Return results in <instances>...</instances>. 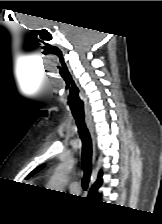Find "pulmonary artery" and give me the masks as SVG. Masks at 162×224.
Segmentation results:
<instances>
[{"label":"pulmonary artery","instance_id":"1","mask_svg":"<svg viewBox=\"0 0 162 224\" xmlns=\"http://www.w3.org/2000/svg\"><path fill=\"white\" fill-rule=\"evenodd\" d=\"M72 193H79L81 191V184L79 180H74L69 187Z\"/></svg>","mask_w":162,"mask_h":224}]
</instances>
